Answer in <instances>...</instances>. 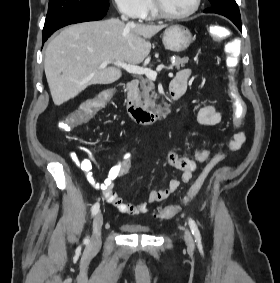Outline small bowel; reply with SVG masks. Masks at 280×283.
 Wrapping results in <instances>:
<instances>
[{
	"mask_svg": "<svg viewBox=\"0 0 280 283\" xmlns=\"http://www.w3.org/2000/svg\"><path fill=\"white\" fill-rule=\"evenodd\" d=\"M190 76V70L184 69L178 72L174 82L183 93L186 89L187 82ZM196 121L204 126H215L221 121V114L212 106H202L196 115ZM236 132L226 142L225 147L219 152H214L207 149H196L192 157L180 156L176 149H171L167 154L168 163L174 168L181 171L180 179H171L168 187L161 190H152L145 202L128 203L125 202L115 191L114 180L126 175L133 166L131 155L128 152L122 154L118 164L111 168L107 178L102 183L95 182L92 177V169L94 162L91 158H81L76 153H71L70 157L73 162L87 174L89 180L95 187L102 191L105 200L114 206L119 212L130 216H138L149 211L151 204L159 203L168 198L172 193L177 191L181 184L189 183L194 173L197 170L199 163L210 161L216 156H222L226 152L238 150L245 142V132L241 129V123L234 121Z\"/></svg>",
	"mask_w": 280,
	"mask_h": 283,
	"instance_id": "c3829d8e",
	"label": "small bowel"
}]
</instances>
